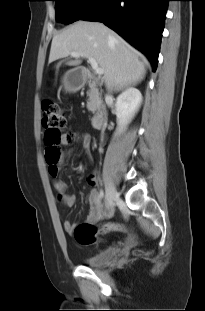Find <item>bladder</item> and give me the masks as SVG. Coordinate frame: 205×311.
Masks as SVG:
<instances>
[{
	"label": "bladder",
	"mask_w": 205,
	"mask_h": 311,
	"mask_svg": "<svg viewBox=\"0 0 205 311\" xmlns=\"http://www.w3.org/2000/svg\"><path fill=\"white\" fill-rule=\"evenodd\" d=\"M118 254L119 247L109 246L98 251L84 254L82 261L89 267H102L113 262Z\"/></svg>",
	"instance_id": "31cf9c89"
}]
</instances>
